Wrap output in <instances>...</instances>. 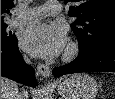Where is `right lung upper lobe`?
Wrapping results in <instances>:
<instances>
[{"mask_svg": "<svg viewBox=\"0 0 115 99\" xmlns=\"http://www.w3.org/2000/svg\"><path fill=\"white\" fill-rule=\"evenodd\" d=\"M13 6V0H1V22H4V16L10 12L8 9L12 8Z\"/></svg>", "mask_w": 115, "mask_h": 99, "instance_id": "obj_1", "label": "right lung upper lobe"}]
</instances>
